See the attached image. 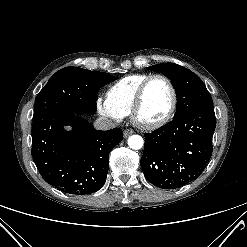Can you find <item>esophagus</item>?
Instances as JSON below:
<instances>
[{"label": "esophagus", "mask_w": 247, "mask_h": 247, "mask_svg": "<svg viewBox=\"0 0 247 247\" xmlns=\"http://www.w3.org/2000/svg\"><path fill=\"white\" fill-rule=\"evenodd\" d=\"M133 133H134V131L132 129H126L123 132L125 138H127L128 136H130Z\"/></svg>", "instance_id": "34e87169"}]
</instances>
